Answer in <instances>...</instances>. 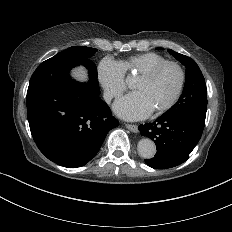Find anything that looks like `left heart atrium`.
Here are the masks:
<instances>
[{"label":"left heart atrium","mask_w":232,"mask_h":232,"mask_svg":"<svg viewBox=\"0 0 232 232\" xmlns=\"http://www.w3.org/2000/svg\"><path fill=\"white\" fill-rule=\"evenodd\" d=\"M113 111L122 119L134 121L148 117L154 108L141 92L134 91L116 101Z\"/></svg>","instance_id":"39dd6f15"}]
</instances>
